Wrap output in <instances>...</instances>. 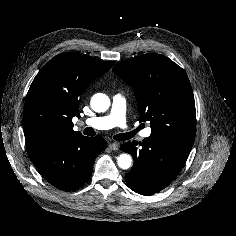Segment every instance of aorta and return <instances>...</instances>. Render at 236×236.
Segmentation results:
<instances>
[{"instance_id": "1", "label": "aorta", "mask_w": 236, "mask_h": 236, "mask_svg": "<svg viewBox=\"0 0 236 236\" xmlns=\"http://www.w3.org/2000/svg\"><path fill=\"white\" fill-rule=\"evenodd\" d=\"M110 106V100L108 96L102 95L99 100H92L91 107L95 112H104ZM118 166L122 169L130 168L132 164L131 156L128 154H121L117 159Z\"/></svg>"}]
</instances>
